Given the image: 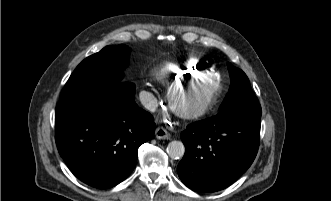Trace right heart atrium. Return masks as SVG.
Instances as JSON below:
<instances>
[{"instance_id": "obj_1", "label": "right heart atrium", "mask_w": 331, "mask_h": 201, "mask_svg": "<svg viewBox=\"0 0 331 201\" xmlns=\"http://www.w3.org/2000/svg\"><path fill=\"white\" fill-rule=\"evenodd\" d=\"M157 96V89L153 85H146L140 91V98L144 102H151Z\"/></svg>"}]
</instances>
